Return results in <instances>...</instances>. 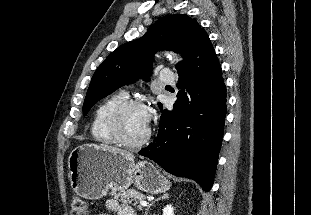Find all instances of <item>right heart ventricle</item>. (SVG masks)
Instances as JSON below:
<instances>
[{"mask_svg": "<svg viewBox=\"0 0 311 215\" xmlns=\"http://www.w3.org/2000/svg\"><path fill=\"white\" fill-rule=\"evenodd\" d=\"M126 99L127 95L119 92L109 96L97 106L91 123V134L95 141L106 145L117 143L109 128V117L112 110Z\"/></svg>", "mask_w": 311, "mask_h": 215, "instance_id": "right-heart-ventricle-1", "label": "right heart ventricle"}]
</instances>
